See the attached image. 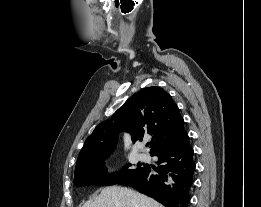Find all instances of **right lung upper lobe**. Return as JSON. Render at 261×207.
I'll list each match as a JSON object with an SVG mask.
<instances>
[{"mask_svg": "<svg viewBox=\"0 0 261 207\" xmlns=\"http://www.w3.org/2000/svg\"><path fill=\"white\" fill-rule=\"evenodd\" d=\"M122 130L130 133L133 142L152 136L150 154L177 145L188 137L184 120L171 96L160 87L144 88L131 96L110 119L96 126L86 139L75 168L108 157Z\"/></svg>", "mask_w": 261, "mask_h": 207, "instance_id": "cb5924a9", "label": "right lung upper lobe"}]
</instances>
